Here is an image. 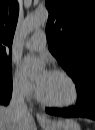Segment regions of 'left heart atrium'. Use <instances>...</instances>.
I'll return each instance as SVG.
<instances>
[{
  "label": "left heart atrium",
  "instance_id": "left-heart-atrium-1",
  "mask_svg": "<svg viewBox=\"0 0 95 130\" xmlns=\"http://www.w3.org/2000/svg\"><path fill=\"white\" fill-rule=\"evenodd\" d=\"M35 64H41L44 65V60L36 57H28L23 61V69L26 73H30L32 70V67ZM50 72L47 71L45 68L43 69L42 73L37 79L38 86L44 81V79L47 77V75Z\"/></svg>",
  "mask_w": 95,
  "mask_h": 130
}]
</instances>
